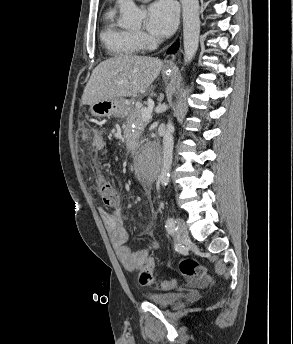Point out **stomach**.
Here are the masks:
<instances>
[{
  "label": "stomach",
  "instance_id": "stomach-1",
  "mask_svg": "<svg viewBox=\"0 0 293 344\" xmlns=\"http://www.w3.org/2000/svg\"><path fill=\"white\" fill-rule=\"evenodd\" d=\"M165 75H168L165 72ZM130 109V104L123 98L98 101L90 106V111L95 117H118L124 118L127 116Z\"/></svg>",
  "mask_w": 293,
  "mask_h": 344
}]
</instances>
